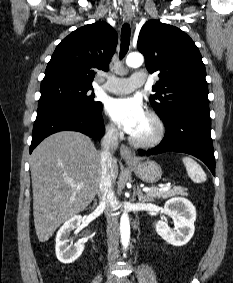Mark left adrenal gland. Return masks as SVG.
Here are the masks:
<instances>
[{
	"label": "left adrenal gland",
	"mask_w": 233,
	"mask_h": 283,
	"mask_svg": "<svg viewBox=\"0 0 233 283\" xmlns=\"http://www.w3.org/2000/svg\"><path fill=\"white\" fill-rule=\"evenodd\" d=\"M137 195H138V199L140 202L145 203V202H149L150 199L149 197H145L141 191V189L139 187H137Z\"/></svg>",
	"instance_id": "1"
}]
</instances>
